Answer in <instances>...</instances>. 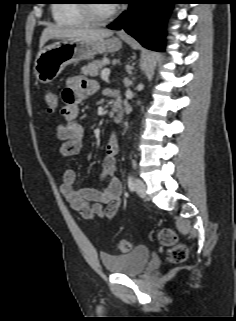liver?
I'll return each instance as SVG.
<instances>
[{"instance_id": "liver-1", "label": "liver", "mask_w": 236, "mask_h": 321, "mask_svg": "<svg viewBox=\"0 0 236 321\" xmlns=\"http://www.w3.org/2000/svg\"><path fill=\"white\" fill-rule=\"evenodd\" d=\"M113 35V31L108 29H90V28H69L63 29L55 25H48L42 32L39 48L50 39H80L83 41L101 40Z\"/></svg>"}]
</instances>
